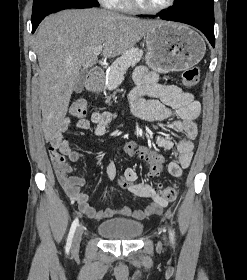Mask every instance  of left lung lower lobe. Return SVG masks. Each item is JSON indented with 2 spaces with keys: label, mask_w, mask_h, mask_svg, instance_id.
Instances as JSON below:
<instances>
[{
  "label": "left lung lower lobe",
  "mask_w": 247,
  "mask_h": 280,
  "mask_svg": "<svg viewBox=\"0 0 247 280\" xmlns=\"http://www.w3.org/2000/svg\"><path fill=\"white\" fill-rule=\"evenodd\" d=\"M161 19L186 23L199 29L208 38L211 45L215 46L214 37V10L194 9L188 11H172L164 12Z\"/></svg>",
  "instance_id": "obj_1"
}]
</instances>
